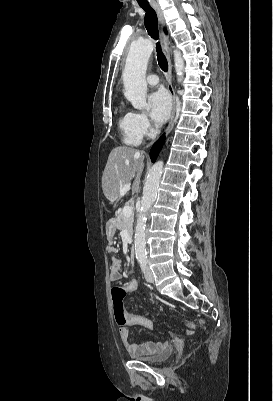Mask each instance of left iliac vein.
Wrapping results in <instances>:
<instances>
[{"label":"left iliac vein","mask_w":273,"mask_h":401,"mask_svg":"<svg viewBox=\"0 0 273 401\" xmlns=\"http://www.w3.org/2000/svg\"><path fill=\"white\" fill-rule=\"evenodd\" d=\"M145 279L147 282H154V276L150 268H146L145 270Z\"/></svg>","instance_id":"4c4485c4"}]
</instances>
